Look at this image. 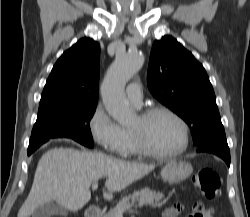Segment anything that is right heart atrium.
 <instances>
[{
  "label": "right heart atrium",
  "mask_w": 250,
  "mask_h": 217,
  "mask_svg": "<svg viewBox=\"0 0 250 217\" xmlns=\"http://www.w3.org/2000/svg\"><path fill=\"white\" fill-rule=\"evenodd\" d=\"M93 140L109 154H122L125 137L122 128L110 117L102 104H98L88 120Z\"/></svg>",
  "instance_id": "d8ad5b80"
}]
</instances>
